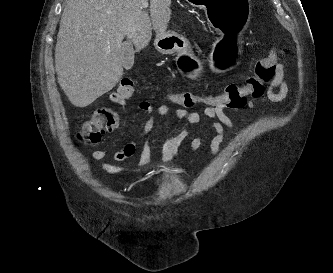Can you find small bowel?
Listing matches in <instances>:
<instances>
[{
	"instance_id": "small-bowel-1",
	"label": "small bowel",
	"mask_w": 333,
	"mask_h": 273,
	"mask_svg": "<svg viewBox=\"0 0 333 273\" xmlns=\"http://www.w3.org/2000/svg\"><path fill=\"white\" fill-rule=\"evenodd\" d=\"M271 55H277L275 50L269 52ZM289 86L286 79V67L278 59L275 63L274 74L270 80L265 93H263L259 99L263 105L267 103H279L282 102L288 95ZM221 94H226L225 91ZM111 101L114 103L125 105L128 98L118 95L117 92H114L111 95ZM150 103L145 101L140 105V113L147 114V118L143 124V135L144 142L141 148V152L138 160L131 165H116L109 162H103L101 164L102 169L111 174L119 175L125 172L130 171H139L144 168L151 157L152 153V137H153V128L155 125V120L157 116L162 115H172L173 118L177 120L186 121L189 124H198L202 117L209 118L212 120L211 127L215 131V136L213 137L210 143L211 155L213 158H216L219 154V149L221 143L225 140L226 132L229 130L235 132V125L232 119L227 115L226 111H231L238 116H242L243 109L245 107L250 110L255 109V103L253 100H247V104L244 105L243 109H201L200 111H194L191 109L179 108L174 111H171L168 105L159 104L154 107H150ZM119 122L113 127L117 128ZM190 127L185 126L169 134L163 143L162 146V159L164 164L170 163L172 160H186V156L180 152V145L182 141L189 135ZM202 145V138L200 136H195L190 143V150L196 157H199V149ZM109 150L107 149H96L92 152L91 158L95 161H102L109 155ZM136 153V144L131 141L128 142L122 149L113 153V159L116 162H122L132 158Z\"/></svg>"
}]
</instances>
